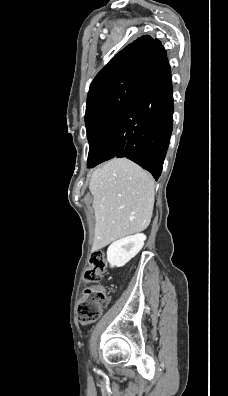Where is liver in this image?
<instances>
[{"instance_id": "obj_1", "label": "liver", "mask_w": 228, "mask_h": 396, "mask_svg": "<svg viewBox=\"0 0 228 396\" xmlns=\"http://www.w3.org/2000/svg\"><path fill=\"white\" fill-rule=\"evenodd\" d=\"M154 181L127 158H114L92 174L95 230L92 250L145 230L154 207Z\"/></svg>"}]
</instances>
